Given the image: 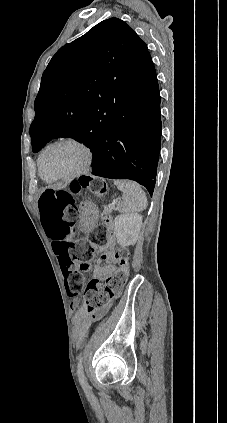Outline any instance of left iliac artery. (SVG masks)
<instances>
[{"mask_svg": "<svg viewBox=\"0 0 227 423\" xmlns=\"http://www.w3.org/2000/svg\"><path fill=\"white\" fill-rule=\"evenodd\" d=\"M77 376L78 380L83 388V390L86 392L89 390V385L86 381L84 370H83V363H82V356L79 357L78 365H77Z\"/></svg>", "mask_w": 227, "mask_h": 423, "instance_id": "44dca946", "label": "left iliac artery"}]
</instances>
